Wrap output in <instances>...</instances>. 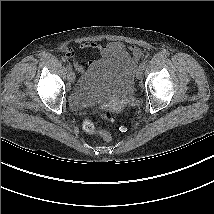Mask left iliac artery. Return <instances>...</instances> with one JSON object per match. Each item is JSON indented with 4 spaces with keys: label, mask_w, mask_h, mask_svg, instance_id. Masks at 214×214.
Returning <instances> with one entry per match:
<instances>
[{
    "label": "left iliac artery",
    "mask_w": 214,
    "mask_h": 214,
    "mask_svg": "<svg viewBox=\"0 0 214 214\" xmlns=\"http://www.w3.org/2000/svg\"><path fill=\"white\" fill-rule=\"evenodd\" d=\"M146 66V62L143 61L142 63H140L139 67L144 68Z\"/></svg>",
    "instance_id": "obj_1"
}]
</instances>
